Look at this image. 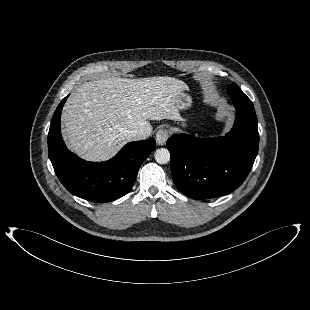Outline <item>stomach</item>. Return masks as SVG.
I'll use <instances>...</instances> for the list:
<instances>
[{
  "mask_svg": "<svg viewBox=\"0 0 310 310\" xmlns=\"http://www.w3.org/2000/svg\"><path fill=\"white\" fill-rule=\"evenodd\" d=\"M179 109H187L192 104V98L189 94L181 92L177 99Z\"/></svg>",
  "mask_w": 310,
  "mask_h": 310,
  "instance_id": "obj_1",
  "label": "stomach"
}]
</instances>
